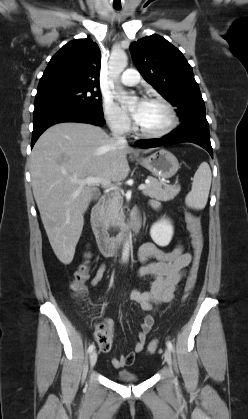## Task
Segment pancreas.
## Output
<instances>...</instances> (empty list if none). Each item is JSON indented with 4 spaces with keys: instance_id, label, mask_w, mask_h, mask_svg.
Listing matches in <instances>:
<instances>
[{
    "instance_id": "cf45deb5",
    "label": "pancreas",
    "mask_w": 248,
    "mask_h": 419,
    "mask_svg": "<svg viewBox=\"0 0 248 419\" xmlns=\"http://www.w3.org/2000/svg\"><path fill=\"white\" fill-rule=\"evenodd\" d=\"M148 180L150 182L143 190V194L160 201L174 199L181 190L180 185H167L152 176H149ZM122 204L123 200L119 194L113 195L107 200L104 212L106 224L119 227L123 225L125 216Z\"/></svg>"
}]
</instances>
